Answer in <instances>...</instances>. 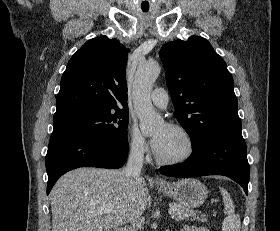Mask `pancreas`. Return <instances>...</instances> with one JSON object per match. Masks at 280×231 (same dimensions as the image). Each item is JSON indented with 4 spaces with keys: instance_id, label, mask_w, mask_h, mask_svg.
Masks as SVG:
<instances>
[{
    "instance_id": "cf45deb5",
    "label": "pancreas",
    "mask_w": 280,
    "mask_h": 231,
    "mask_svg": "<svg viewBox=\"0 0 280 231\" xmlns=\"http://www.w3.org/2000/svg\"><path fill=\"white\" fill-rule=\"evenodd\" d=\"M170 207H174L176 209L175 213H173L176 219H187L192 215L193 219H198V221H207V217L205 213H200L197 215L195 209H190V207H185V205H181V203H170Z\"/></svg>"
}]
</instances>
